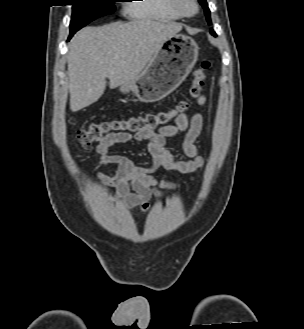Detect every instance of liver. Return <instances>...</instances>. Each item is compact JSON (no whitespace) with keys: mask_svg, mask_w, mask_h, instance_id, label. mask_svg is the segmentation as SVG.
<instances>
[{"mask_svg":"<svg viewBox=\"0 0 304 329\" xmlns=\"http://www.w3.org/2000/svg\"><path fill=\"white\" fill-rule=\"evenodd\" d=\"M181 30L178 23L143 19L78 31L67 57L71 111L95 103L104 93L106 78L111 88L134 81L163 41Z\"/></svg>","mask_w":304,"mask_h":329,"instance_id":"obj_1","label":"liver"}]
</instances>
